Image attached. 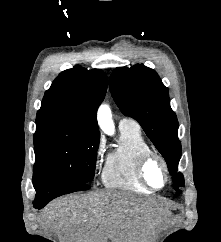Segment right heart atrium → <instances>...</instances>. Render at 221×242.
<instances>
[{
  "instance_id": "1",
  "label": "right heart atrium",
  "mask_w": 221,
  "mask_h": 242,
  "mask_svg": "<svg viewBox=\"0 0 221 242\" xmlns=\"http://www.w3.org/2000/svg\"><path fill=\"white\" fill-rule=\"evenodd\" d=\"M104 150V142L103 140H99L96 144L95 151H94V159L97 161L101 158L102 153Z\"/></svg>"
}]
</instances>
